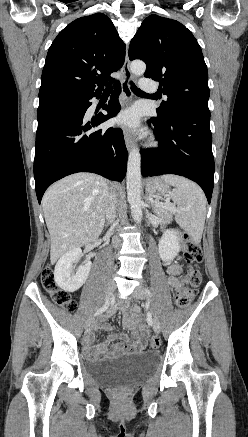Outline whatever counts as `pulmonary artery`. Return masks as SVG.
<instances>
[{"instance_id": "e3ab8cb5", "label": "pulmonary artery", "mask_w": 248, "mask_h": 437, "mask_svg": "<svg viewBox=\"0 0 248 437\" xmlns=\"http://www.w3.org/2000/svg\"><path fill=\"white\" fill-rule=\"evenodd\" d=\"M140 87L145 92H155L157 90L156 84L152 79L143 77L140 79Z\"/></svg>"}]
</instances>
